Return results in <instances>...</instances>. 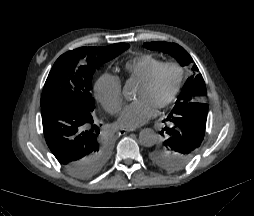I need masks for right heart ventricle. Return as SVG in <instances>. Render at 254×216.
Returning a JSON list of instances; mask_svg holds the SVG:
<instances>
[{"instance_id":"1","label":"right heart ventricle","mask_w":254,"mask_h":216,"mask_svg":"<svg viewBox=\"0 0 254 216\" xmlns=\"http://www.w3.org/2000/svg\"><path fill=\"white\" fill-rule=\"evenodd\" d=\"M162 63L163 61L159 58L143 54L128 61L125 65V71L128 79L142 82Z\"/></svg>"}]
</instances>
